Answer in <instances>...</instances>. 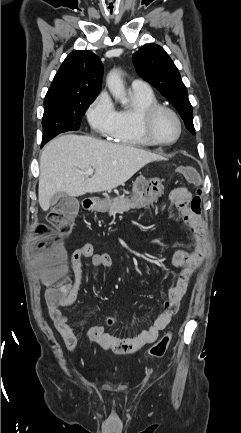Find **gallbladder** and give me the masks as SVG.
Masks as SVG:
<instances>
[{
    "label": "gallbladder",
    "mask_w": 241,
    "mask_h": 433,
    "mask_svg": "<svg viewBox=\"0 0 241 433\" xmlns=\"http://www.w3.org/2000/svg\"><path fill=\"white\" fill-rule=\"evenodd\" d=\"M60 199L67 200L70 204L69 207H66L72 217L76 216L79 210V202L77 199L73 197H69L65 192H57L50 198V205L54 206Z\"/></svg>",
    "instance_id": "1"
}]
</instances>
